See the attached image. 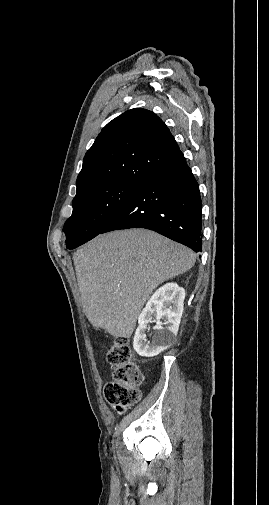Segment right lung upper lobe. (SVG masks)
<instances>
[{
  "label": "right lung upper lobe",
  "mask_w": 269,
  "mask_h": 505,
  "mask_svg": "<svg viewBox=\"0 0 269 505\" xmlns=\"http://www.w3.org/2000/svg\"><path fill=\"white\" fill-rule=\"evenodd\" d=\"M182 156L168 127L155 113L128 110L109 122L87 151L76 181L77 194L104 183L142 185Z\"/></svg>",
  "instance_id": "cb5924a9"
}]
</instances>
